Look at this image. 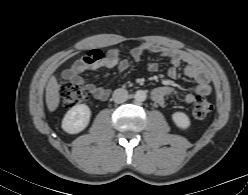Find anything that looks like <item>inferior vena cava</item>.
<instances>
[{"label": "inferior vena cava", "instance_id": "obj_1", "mask_svg": "<svg viewBox=\"0 0 248 195\" xmlns=\"http://www.w3.org/2000/svg\"><path fill=\"white\" fill-rule=\"evenodd\" d=\"M113 101L117 104L123 103L127 100L128 98V92L127 90L123 88H118L114 91L113 93Z\"/></svg>", "mask_w": 248, "mask_h": 195}]
</instances>
